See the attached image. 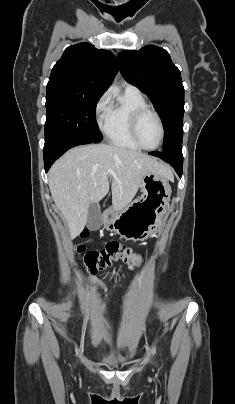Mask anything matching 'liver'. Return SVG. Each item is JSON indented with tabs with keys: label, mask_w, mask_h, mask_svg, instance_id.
Here are the masks:
<instances>
[{
	"label": "liver",
	"mask_w": 235,
	"mask_h": 404,
	"mask_svg": "<svg viewBox=\"0 0 235 404\" xmlns=\"http://www.w3.org/2000/svg\"><path fill=\"white\" fill-rule=\"evenodd\" d=\"M152 172L173 179L169 166L141 152L108 144L78 146L53 164L49 189L74 238L87 223L90 204L107 195L109 181L112 205L119 211L132 201L143 177Z\"/></svg>",
	"instance_id": "liver-1"
}]
</instances>
